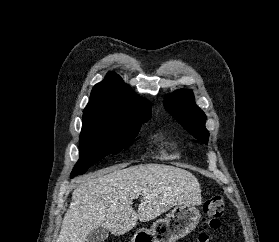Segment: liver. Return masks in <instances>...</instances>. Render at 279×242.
Masks as SVG:
<instances>
[{
  "label": "liver",
  "instance_id": "obj_1",
  "mask_svg": "<svg viewBox=\"0 0 279 242\" xmlns=\"http://www.w3.org/2000/svg\"><path fill=\"white\" fill-rule=\"evenodd\" d=\"M118 165L76 179V188L56 242H85L102 227L123 235L177 204H201L197 178L189 171L163 164ZM141 196L138 212L132 203ZM144 196H147L144 198Z\"/></svg>",
  "mask_w": 279,
  "mask_h": 242
}]
</instances>
